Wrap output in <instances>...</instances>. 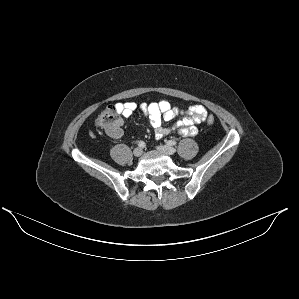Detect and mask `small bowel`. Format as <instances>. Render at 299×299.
<instances>
[{
  "mask_svg": "<svg viewBox=\"0 0 299 299\" xmlns=\"http://www.w3.org/2000/svg\"><path fill=\"white\" fill-rule=\"evenodd\" d=\"M116 111L125 118H129L136 110H140L149 120L153 128L154 135L161 139L173 131L182 136H193L197 133V124L206 120L207 110L202 105H194L187 110H182L172 106L168 101L161 100L151 103L117 102L113 106ZM178 116H183L177 120L172 127H164L163 121H171ZM122 130L111 134L112 138H120Z\"/></svg>",
  "mask_w": 299,
  "mask_h": 299,
  "instance_id": "obj_1",
  "label": "small bowel"
}]
</instances>
